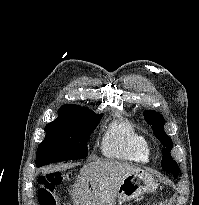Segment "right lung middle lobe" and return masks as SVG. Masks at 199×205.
Segmentation results:
<instances>
[{"instance_id":"dd1d6c3e","label":"right lung middle lobe","mask_w":199,"mask_h":205,"mask_svg":"<svg viewBox=\"0 0 199 205\" xmlns=\"http://www.w3.org/2000/svg\"><path fill=\"white\" fill-rule=\"evenodd\" d=\"M101 118L102 114L78 105L60 108L58 118L45 127L46 137L37 149V167L85 158L88 138Z\"/></svg>"}]
</instances>
